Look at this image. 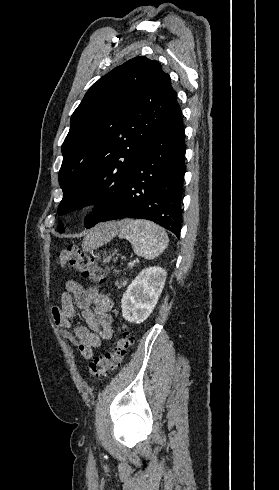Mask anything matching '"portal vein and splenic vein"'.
I'll return each instance as SVG.
<instances>
[{
	"label": "portal vein and splenic vein",
	"instance_id": "1",
	"mask_svg": "<svg viewBox=\"0 0 279 490\" xmlns=\"http://www.w3.org/2000/svg\"><path fill=\"white\" fill-rule=\"evenodd\" d=\"M128 266H133L132 262H130V264H128Z\"/></svg>",
	"mask_w": 279,
	"mask_h": 490
}]
</instances>
